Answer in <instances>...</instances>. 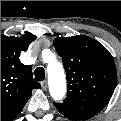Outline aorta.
I'll return each mask as SVG.
<instances>
[{
  "instance_id": "762f6f07",
  "label": "aorta",
  "mask_w": 121,
  "mask_h": 121,
  "mask_svg": "<svg viewBox=\"0 0 121 121\" xmlns=\"http://www.w3.org/2000/svg\"><path fill=\"white\" fill-rule=\"evenodd\" d=\"M50 95L54 100H61L66 93V79L62 65L52 62L47 67Z\"/></svg>"
}]
</instances>
